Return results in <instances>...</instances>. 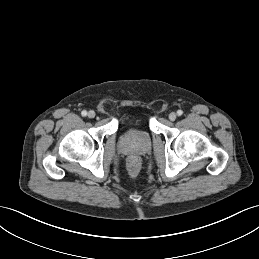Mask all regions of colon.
<instances>
[{
	"label": "colon",
	"mask_w": 259,
	"mask_h": 259,
	"mask_svg": "<svg viewBox=\"0 0 259 259\" xmlns=\"http://www.w3.org/2000/svg\"><path fill=\"white\" fill-rule=\"evenodd\" d=\"M127 168L130 175L135 176L141 168V160L136 156L129 158Z\"/></svg>",
	"instance_id": "obj_1"
}]
</instances>
